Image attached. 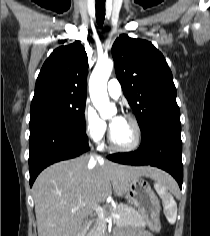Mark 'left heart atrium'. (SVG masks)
Segmentation results:
<instances>
[{
  "instance_id": "1",
  "label": "left heart atrium",
  "mask_w": 210,
  "mask_h": 236,
  "mask_svg": "<svg viewBox=\"0 0 210 236\" xmlns=\"http://www.w3.org/2000/svg\"><path fill=\"white\" fill-rule=\"evenodd\" d=\"M121 120H122V117L120 115L115 116L110 122L111 129L115 127Z\"/></svg>"
}]
</instances>
